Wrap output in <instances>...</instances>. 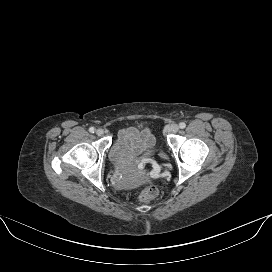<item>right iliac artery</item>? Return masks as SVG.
<instances>
[{
  "label": "right iliac artery",
  "instance_id": "82829eb1",
  "mask_svg": "<svg viewBox=\"0 0 272 272\" xmlns=\"http://www.w3.org/2000/svg\"><path fill=\"white\" fill-rule=\"evenodd\" d=\"M89 132H90V133H94V132H95V128H94V127H90V128H89Z\"/></svg>",
  "mask_w": 272,
  "mask_h": 272
}]
</instances>
